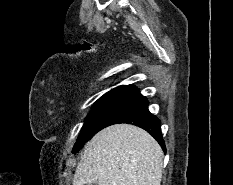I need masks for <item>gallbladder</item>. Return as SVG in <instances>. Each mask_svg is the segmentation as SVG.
I'll return each mask as SVG.
<instances>
[{
    "label": "gallbladder",
    "instance_id": "obj_1",
    "mask_svg": "<svg viewBox=\"0 0 233 185\" xmlns=\"http://www.w3.org/2000/svg\"><path fill=\"white\" fill-rule=\"evenodd\" d=\"M87 185H98L97 183L87 184Z\"/></svg>",
    "mask_w": 233,
    "mask_h": 185
}]
</instances>
